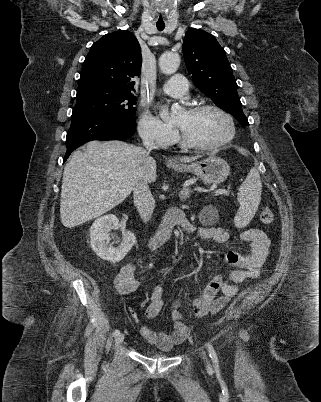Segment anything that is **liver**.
I'll use <instances>...</instances> for the list:
<instances>
[{
	"label": "liver",
	"mask_w": 321,
	"mask_h": 402,
	"mask_svg": "<svg viewBox=\"0 0 321 402\" xmlns=\"http://www.w3.org/2000/svg\"><path fill=\"white\" fill-rule=\"evenodd\" d=\"M156 177V161L145 149L123 141H91L83 151H75L64 168L61 222L72 228L96 218L123 202L137 181L151 183Z\"/></svg>",
	"instance_id": "obj_1"
}]
</instances>
